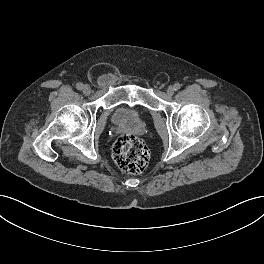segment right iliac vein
<instances>
[{
  "label": "right iliac vein",
  "instance_id": "right-iliac-vein-1",
  "mask_svg": "<svg viewBox=\"0 0 264 264\" xmlns=\"http://www.w3.org/2000/svg\"><path fill=\"white\" fill-rule=\"evenodd\" d=\"M82 91L85 95H89L91 93V88L89 85H84Z\"/></svg>",
  "mask_w": 264,
  "mask_h": 264
}]
</instances>
